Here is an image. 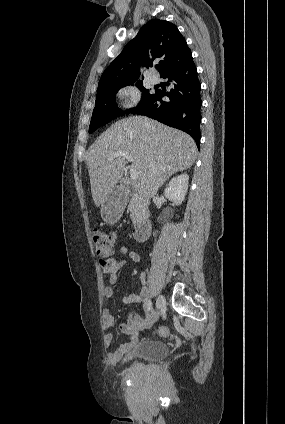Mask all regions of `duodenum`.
Returning a JSON list of instances; mask_svg holds the SVG:
<instances>
[{"mask_svg": "<svg viewBox=\"0 0 285 424\" xmlns=\"http://www.w3.org/2000/svg\"><path fill=\"white\" fill-rule=\"evenodd\" d=\"M122 186L127 191L136 190L135 184L129 179H124ZM140 212L141 215L134 231V237L137 242H145L151 233L152 217L150 211L144 205L140 206Z\"/></svg>", "mask_w": 285, "mask_h": 424, "instance_id": "410a0bca", "label": "duodenum"}]
</instances>
